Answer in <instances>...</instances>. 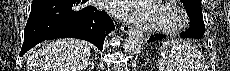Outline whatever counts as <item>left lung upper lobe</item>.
<instances>
[{
    "instance_id": "1",
    "label": "left lung upper lobe",
    "mask_w": 230,
    "mask_h": 71,
    "mask_svg": "<svg viewBox=\"0 0 230 71\" xmlns=\"http://www.w3.org/2000/svg\"><path fill=\"white\" fill-rule=\"evenodd\" d=\"M181 1L184 3L186 10L197 9L199 11H202L201 0H181Z\"/></svg>"
}]
</instances>
